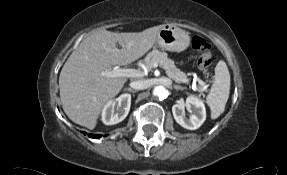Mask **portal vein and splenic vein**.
<instances>
[{
    "label": "portal vein and splenic vein",
    "instance_id": "1",
    "mask_svg": "<svg viewBox=\"0 0 287 175\" xmlns=\"http://www.w3.org/2000/svg\"><path fill=\"white\" fill-rule=\"evenodd\" d=\"M158 67L157 63L153 64V68ZM103 75L115 78V77H142L144 76V72L136 69H120V68H114L111 71H106L103 73ZM188 82V80H186ZM199 84L203 85L204 82L202 80H199ZM195 86V84H193Z\"/></svg>",
    "mask_w": 287,
    "mask_h": 175
}]
</instances>
